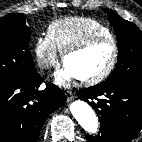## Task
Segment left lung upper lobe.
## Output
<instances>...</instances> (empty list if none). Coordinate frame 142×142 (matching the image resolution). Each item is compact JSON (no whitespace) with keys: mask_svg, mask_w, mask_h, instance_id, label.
Segmentation results:
<instances>
[{"mask_svg":"<svg viewBox=\"0 0 142 142\" xmlns=\"http://www.w3.org/2000/svg\"><path fill=\"white\" fill-rule=\"evenodd\" d=\"M103 10L108 14L120 43L116 68L102 83L142 82V32L114 11Z\"/></svg>","mask_w":142,"mask_h":142,"instance_id":"5c2ea615","label":"left lung upper lobe"}]
</instances>
